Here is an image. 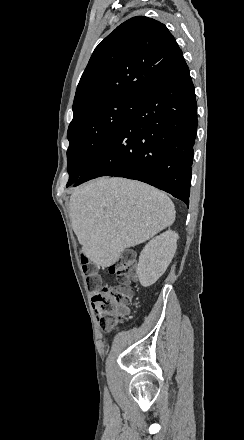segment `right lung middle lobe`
Segmentation results:
<instances>
[{
  "mask_svg": "<svg viewBox=\"0 0 244 440\" xmlns=\"http://www.w3.org/2000/svg\"><path fill=\"white\" fill-rule=\"evenodd\" d=\"M141 97L117 96L88 102L73 108L67 150L69 181H77L87 166L126 123Z\"/></svg>",
  "mask_w": 244,
  "mask_h": 440,
  "instance_id": "obj_1",
  "label": "right lung middle lobe"
}]
</instances>
